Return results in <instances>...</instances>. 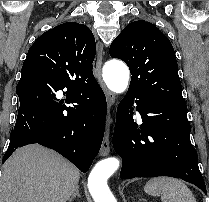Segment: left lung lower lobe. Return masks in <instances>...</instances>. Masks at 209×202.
Masks as SVG:
<instances>
[{"label": "left lung lower lobe", "mask_w": 209, "mask_h": 202, "mask_svg": "<svg viewBox=\"0 0 209 202\" xmlns=\"http://www.w3.org/2000/svg\"><path fill=\"white\" fill-rule=\"evenodd\" d=\"M134 102L143 121L140 128L129 114ZM190 131L186 105L158 102L127 92L118 105L113 134L114 149L123 160L120 177L181 178L207 194Z\"/></svg>", "instance_id": "obj_1"}]
</instances>
